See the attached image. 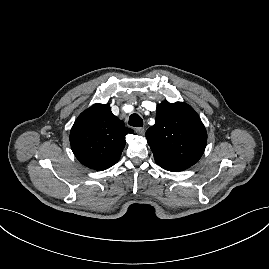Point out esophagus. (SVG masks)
<instances>
[{"instance_id":"1","label":"esophagus","mask_w":269,"mask_h":269,"mask_svg":"<svg viewBox=\"0 0 269 269\" xmlns=\"http://www.w3.org/2000/svg\"><path fill=\"white\" fill-rule=\"evenodd\" d=\"M135 132L139 135H144L145 134V129L144 128H136Z\"/></svg>"}]
</instances>
